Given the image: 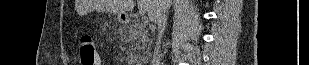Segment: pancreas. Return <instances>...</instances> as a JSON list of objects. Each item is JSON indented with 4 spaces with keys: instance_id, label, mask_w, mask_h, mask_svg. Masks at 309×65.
I'll return each instance as SVG.
<instances>
[{
    "instance_id": "1",
    "label": "pancreas",
    "mask_w": 309,
    "mask_h": 65,
    "mask_svg": "<svg viewBox=\"0 0 309 65\" xmlns=\"http://www.w3.org/2000/svg\"><path fill=\"white\" fill-rule=\"evenodd\" d=\"M130 50L128 56L138 61L145 58V54L149 53V45L152 40L149 38L148 30L140 21H134L129 26Z\"/></svg>"
}]
</instances>
